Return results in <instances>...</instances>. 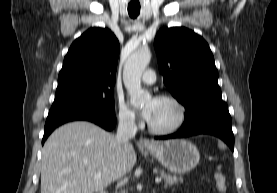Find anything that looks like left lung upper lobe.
Returning a JSON list of instances; mask_svg holds the SVG:
<instances>
[{"instance_id": "1", "label": "left lung upper lobe", "mask_w": 277, "mask_h": 193, "mask_svg": "<svg viewBox=\"0 0 277 193\" xmlns=\"http://www.w3.org/2000/svg\"><path fill=\"white\" fill-rule=\"evenodd\" d=\"M154 48L163 81L185 107V117L208 102L222 101L218 71L206 41L184 27L161 29Z\"/></svg>"}]
</instances>
